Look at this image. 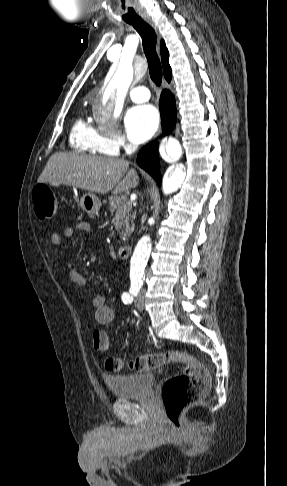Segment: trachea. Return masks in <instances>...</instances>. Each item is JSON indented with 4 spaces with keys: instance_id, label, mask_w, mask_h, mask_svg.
<instances>
[{
    "instance_id": "trachea-1",
    "label": "trachea",
    "mask_w": 287,
    "mask_h": 486,
    "mask_svg": "<svg viewBox=\"0 0 287 486\" xmlns=\"http://www.w3.org/2000/svg\"><path fill=\"white\" fill-rule=\"evenodd\" d=\"M142 38L143 50L148 61L151 80L160 86L162 82V67L156 52V33L143 19L129 21Z\"/></svg>"
}]
</instances>
